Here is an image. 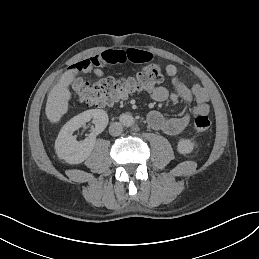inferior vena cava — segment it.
Here are the masks:
<instances>
[{
	"mask_svg": "<svg viewBox=\"0 0 259 259\" xmlns=\"http://www.w3.org/2000/svg\"><path fill=\"white\" fill-rule=\"evenodd\" d=\"M123 127L122 124L119 122H113L109 127V133L112 136H118L122 133Z\"/></svg>",
	"mask_w": 259,
	"mask_h": 259,
	"instance_id": "obj_1",
	"label": "inferior vena cava"
}]
</instances>
